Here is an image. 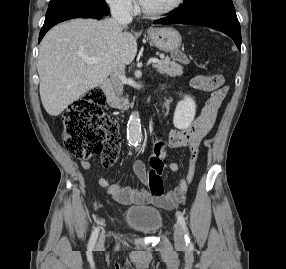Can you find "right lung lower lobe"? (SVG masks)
<instances>
[{
	"mask_svg": "<svg viewBox=\"0 0 286 269\" xmlns=\"http://www.w3.org/2000/svg\"><path fill=\"white\" fill-rule=\"evenodd\" d=\"M103 16V14H99V13H93V12H74V13H70L64 16H60L57 18H54L52 20L49 21H45L43 27L41 28L40 31V35H39V41L40 42L42 40V38L44 37V35L46 34V32L53 27L54 25L69 20V19H73V18H95V19H101Z\"/></svg>",
	"mask_w": 286,
	"mask_h": 269,
	"instance_id": "obj_1",
	"label": "right lung lower lobe"
}]
</instances>
